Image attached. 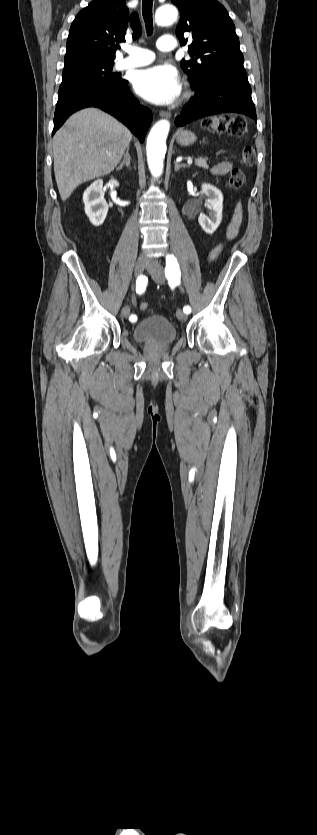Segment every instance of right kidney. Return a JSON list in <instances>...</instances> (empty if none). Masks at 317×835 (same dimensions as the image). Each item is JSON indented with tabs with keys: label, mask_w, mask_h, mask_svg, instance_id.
I'll use <instances>...</instances> for the list:
<instances>
[{
	"label": "right kidney",
	"mask_w": 317,
	"mask_h": 835,
	"mask_svg": "<svg viewBox=\"0 0 317 835\" xmlns=\"http://www.w3.org/2000/svg\"><path fill=\"white\" fill-rule=\"evenodd\" d=\"M83 202L85 204V213L90 222L94 226L103 224L108 212V205L104 198L103 181L101 179L95 180L85 190Z\"/></svg>",
	"instance_id": "1"
}]
</instances>
